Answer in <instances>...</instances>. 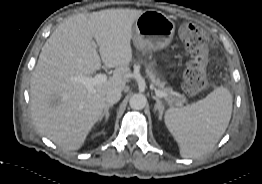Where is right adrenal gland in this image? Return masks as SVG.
Returning <instances> with one entry per match:
<instances>
[{
	"instance_id": "1",
	"label": "right adrenal gland",
	"mask_w": 262,
	"mask_h": 184,
	"mask_svg": "<svg viewBox=\"0 0 262 184\" xmlns=\"http://www.w3.org/2000/svg\"><path fill=\"white\" fill-rule=\"evenodd\" d=\"M111 107H113V104H107L105 106V109H104L102 115L99 118V122H101L104 118H105V123L108 121V119H109V109Z\"/></svg>"
}]
</instances>
